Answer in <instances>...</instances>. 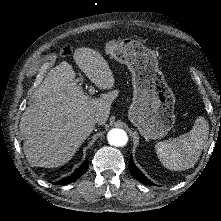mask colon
<instances>
[{
	"mask_svg": "<svg viewBox=\"0 0 221 221\" xmlns=\"http://www.w3.org/2000/svg\"><path fill=\"white\" fill-rule=\"evenodd\" d=\"M53 50H57L59 54L63 57H68L71 54V47L67 44L62 45V46L54 45ZM51 54H52V50H47L41 55V58H47Z\"/></svg>",
	"mask_w": 221,
	"mask_h": 221,
	"instance_id": "5ec220e1",
	"label": "colon"
}]
</instances>
